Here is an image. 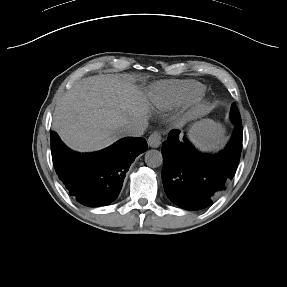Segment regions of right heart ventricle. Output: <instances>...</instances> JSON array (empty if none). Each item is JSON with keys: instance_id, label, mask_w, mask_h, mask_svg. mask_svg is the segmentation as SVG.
Segmentation results:
<instances>
[{"instance_id": "obj_1", "label": "right heart ventricle", "mask_w": 287, "mask_h": 287, "mask_svg": "<svg viewBox=\"0 0 287 287\" xmlns=\"http://www.w3.org/2000/svg\"><path fill=\"white\" fill-rule=\"evenodd\" d=\"M204 86L193 80L166 81L152 87L156 104L163 109L181 107L204 92Z\"/></svg>"}]
</instances>
